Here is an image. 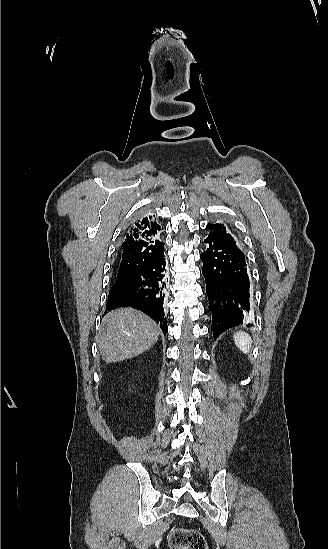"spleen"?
Segmentation results:
<instances>
[{
    "mask_svg": "<svg viewBox=\"0 0 328 549\" xmlns=\"http://www.w3.org/2000/svg\"><path fill=\"white\" fill-rule=\"evenodd\" d=\"M234 343L242 353H249L252 345V339L248 333H244V331H238V333H234L233 335Z\"/></svg>",
    "mask_w": 328,
    "mask_h": 549,
    "instance_id": "spleen-1",
    "label": "spleen"
}]
</instances>
